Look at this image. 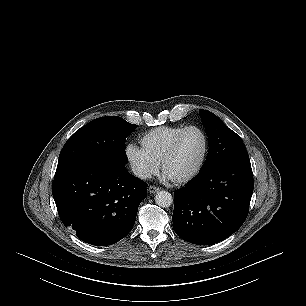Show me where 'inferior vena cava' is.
<instances>
[{
  "label": "inferior vena cava",
  "instance_id": "obj_1",
  "mask_svg": "<svg viewBox=\"0 0 306 306\" xmlns=\"http://www.w3.org/2000/svg\"><path fill=\"white\" fill-rule=\"evenodd\" d=\"M132 171H133L134 175H136L137 177H139L141 179L151 178L150 171L148 169H146L145 167L135 166V167L132 168Z\"/></svg>",
  "mask_w": 306,
  "mask_h": 306
}]
</instances>
